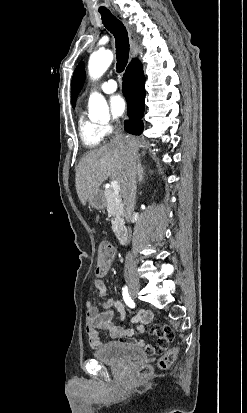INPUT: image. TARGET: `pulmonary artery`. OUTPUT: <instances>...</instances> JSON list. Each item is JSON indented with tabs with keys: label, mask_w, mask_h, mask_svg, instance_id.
I'll return each instance as SVG.
<instances>
[{
	"label": "pulmonary artery",
	"mask_w": 247,
	"mask_h": 413,
	"mask_svg": "<svg viewBox=\"0 0 247 413\" xmlns=\"http://www.w3.org/2000/svg\"><path fill=\"white\" fill-rule=\"evenodd\" d=\"M117 82L116 80L110 78L108 80H103L98 84V89L104 93L110 94L117 89Z\"/></svg>",
	"instance_id": "1"
}]
</instances>
